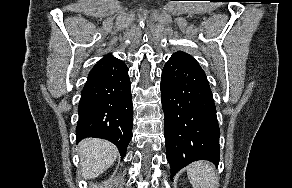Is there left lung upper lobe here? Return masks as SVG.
<instances>
[{"mask_svg": "<svg viewBox=\"0 0 292 188\" xmlns=\"http://www.w3.org/2000/svg\"><path fill=\"white\" fill-rule=\"evenodd\" d=\"M174 55L183 57V58H185V59H187V60H189L191 62H194V63L198 64L197 61L191 55H189V54H187L185 52L179 51V52L175 53Z\"/></svg>", "mask_w": 292, "mask_h": 188, "instance_id": "left-lung-upper-lobe-1", "label": "left lung upper lobe"}]
</instances>
